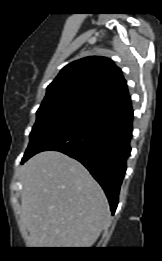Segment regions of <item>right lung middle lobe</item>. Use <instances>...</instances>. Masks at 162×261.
Returning <instances> with one entry per match:
<instances>
[{
  "label": "right lung middle lobe",
  "mask_w": 162,
  "mask_h": 261,
  "mask_svg": "<svg viewBox=\"0 0 162 261\" xmlns=\"http://www.w3.org/2000/svg\"><path fill=\"white\" fill-rule=\"evenodd\" d=\"M101 105L98 100L80 92L46 96L37 111V120L24 155L33 152L47 136L61 126Z\"/></svg>",
  "instance_id": "right-lung-middle-lobe-1"
}]
</instances>
